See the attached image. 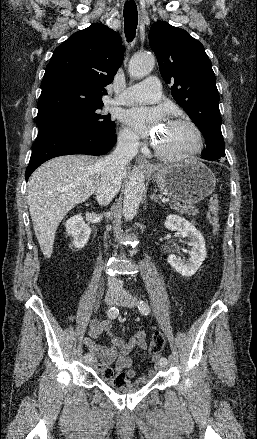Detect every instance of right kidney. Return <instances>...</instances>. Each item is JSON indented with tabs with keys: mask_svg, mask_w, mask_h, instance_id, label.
Masks as SVG:
<instances>
[{
	"mask_svg": "<svg viewBox=\"0 0 257 439\" xmlns=\"http://www.w3.org/2000/svg\"><path fill=\"white\" fill-rule=\"evenodd\" d=\"M66 232L73 237V245L77 249L83 248L90 237L91 228L85 224L82 216L76 215L68 219L65 223Z\"/></svg>",
	"mask_w": 257,
	"mask_h": 439,
	"instance_id": "right-kidney-1",
	"label": "right kidney"
}]
</instances>
